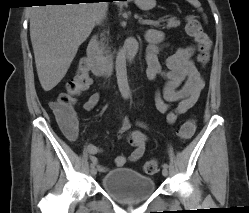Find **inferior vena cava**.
<instances>
[{"label":"inferior vena cava","instance_id":"obj_1","mask_svg":"<svg viewBox=\"0 0 249 213\" xmlns=\"http://www.w3.org/2000/svg\"><path fill=\"white\" fill-rule=\"evenodd\" d=\"M107 9H104L102 13L98 16L97 23L100 24L106 17Z\"/></svg>","mask_w":249,"mask_h":213}]
</instances>
